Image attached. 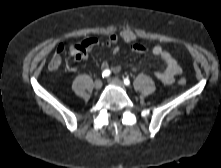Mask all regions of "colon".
Here are the masks:
<instances>
[{
	"label": "colon",
	"instance_id": "1",
	"mask_svg": "<svg viewBox=\"0 0 221 168\" xmlns=\"http://www.w3.org/2000/svg\"><path fill=\"white\" fill-rule=\"evenodd\" d=\"M118 36H119L120 39H122L124 42H127V43H133L137 39V36H136L135 32L130 30V29L120 30L119 33H118ZM95 42H96V40H90L86 44L80 45L77 48H74V49L70 48V54L76 59L82 53L85 52V47L86 46H88L90 44H93ZM63 52H64V46L61 44L57 47L54 55L52 56L51 60L49 61V64H48L49 69L55 70V69L60 67V65L62 63V54H63ZM179 84L180 85H185L186 80L185 79H180Z\"/></svg>",
	"mask_w": 221,
	"mask_h": 168
}]
</instances>
